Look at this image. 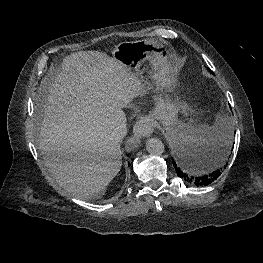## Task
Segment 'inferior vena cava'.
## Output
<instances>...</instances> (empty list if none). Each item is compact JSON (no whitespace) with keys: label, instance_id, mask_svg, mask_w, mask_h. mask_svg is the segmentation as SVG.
Here are the masks:
<instances>
[{"label":"inferior vena cava","instance_id":"inferior-vena-cava-1","mask_svg":"<svg viewBox=\"0 0 263 263\" xmlns=\"http://www.w3.org/2000/svg\"><path fill=\"white\" fill-rule=\"evenodd\" d=\"M126 120V119H125ZM125 120L114 121L110 126V137L113 140L121 141L127 134Z\"/></svg>","mask_w":263,"mask_h":263}]
</instances>
